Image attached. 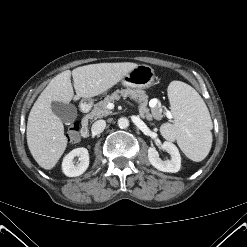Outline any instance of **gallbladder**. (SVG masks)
Returning <instances> with one entry per match:
<instances>
[{
	"instance_id": "bac80fb5",
	"label": "gallbladder",
	"mask_w": 247,
	"mask_h": 247,
	"mask_svg": "<svg viewBox=\"0 0 247 247\" xmlns=\"http://www.w3.org/2000/svg\"><path fill=\"white\" fill-rule=\"evenodd\" d=\"M52 112L65 124L73 123L77 117V109L73 104L53 101Z\"/></svg>"
}]
</instances>
